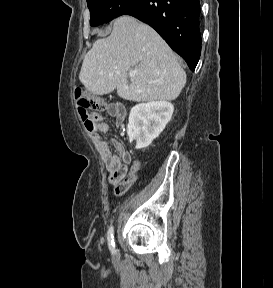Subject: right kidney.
<instances>
[{"mask_svg": "<svg viewBox=\"0 0 273 288\" xmlns=\"http://www.w3.org/2000/svg\"><path fill=\"white\" fill-rule=\"evenodd\" d=\"M174 107L170 102L152 101L135 105L129 114L127 134L135 148L148 147L170 121Z\"/></svg>", "mask_w": 273, "mask_h": 288, "instance_id": "1", "label": "right kidney"}]
</instances>
